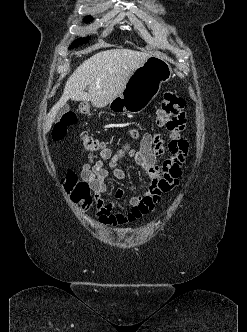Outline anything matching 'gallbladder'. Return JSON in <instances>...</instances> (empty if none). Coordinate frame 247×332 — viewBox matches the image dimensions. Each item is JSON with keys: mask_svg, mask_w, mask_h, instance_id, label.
Instances as JSON below:
<instances>
[{"mask_svg": "<svg viewBox=\"0 0 247 332\" xmlns=\"http://www.w3.org/2000/svg\"><path fill=\"white\" fill-rule=\"evenodd\" d=\"M69 106L68 105H63L57 112L56 118L59 119L62 115L67 113L69 111Z\"/></svg>", "mask_w": 247, "mask_h": 332, "instance_id": "obj_1", "label": "gallbladder"}]
</instances>
